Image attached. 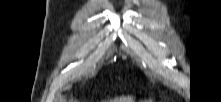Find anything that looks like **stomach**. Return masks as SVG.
Returning a JSON list of instances; mask_svg holds the SVG:
<instances>
[{
  "label": "stomach",
  "mask_w": 221,
  "mask_h": 102,
  "mask_svg": "<svg viewBox=\"0 0 221 102\" xmlns=\"http://www.w3.org/2000/svg\"><path fill=\"white\" fill-rule=\"evenodd\" d=\"M144 102H154V101H152V100H148V101H144Z\"/></svg>",
  "instance_id": "stomach-1"
}]
</instances>
